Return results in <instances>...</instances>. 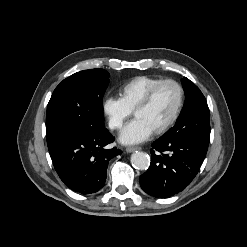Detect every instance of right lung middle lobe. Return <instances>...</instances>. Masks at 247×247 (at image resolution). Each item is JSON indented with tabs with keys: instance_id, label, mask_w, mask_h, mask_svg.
<instances>
[{
	"instance_id": "1",
	"label": "right lung middle lobe",
	"mask_w": 247,
	"mask_h": 247,
	"mask_svg": "<svg viewBox=\"0 0 247 247\" xmlns=\"http://www.w3.org/2000/svg\"><path fill=\"white\" fill-rule=\"evenodd\" d=\"M104 69L77 72L54 90L47 106V143L59 137L104 127L102 97L109 83Z\"/></svg>"
}]
</instances>
